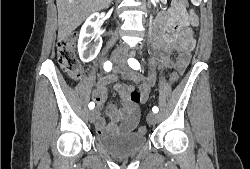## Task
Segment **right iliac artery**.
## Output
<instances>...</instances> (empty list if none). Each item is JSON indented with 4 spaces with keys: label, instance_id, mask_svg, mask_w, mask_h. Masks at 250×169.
Returning <instances> with one entry per match:
<instances>
[{
    "label": "right iliac artery",
    "instance_id": "right-iliac-artery-1",
    "mask_svg": "<svg viewBox=\"0 0 250 169\" xmlns=\"http://www.w3.org/2000/svg\"><path fill=\"white\" fill-rule=\"evenodd\" d=\"M111 69H112V63L110 61H106L104 63V70L109 72L111 71ZM88 106H89V109H93L95 107V104L93 102H90Z\"/></svg>",
    "mask_w": 250,
    "mask_h": 169
}]
</instances>
